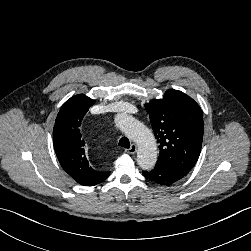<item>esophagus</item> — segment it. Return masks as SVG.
<instances>
[{
	"mask_svg": "<svg viewBox=\"0 0 251 251\" xmlns=\"http://www.w3.org/2000/svg\"><path fill=\"white\" fill-rule=\"evenodd\" d=\"M126 152L129 154H135L137 152V145L132 144L129 149H126Z\"/></svg>",
	"mask_w": 251,
	"mask_h": 251,
	"instance_id": "1",
	"label": "esophagus"
}]
</instances>
